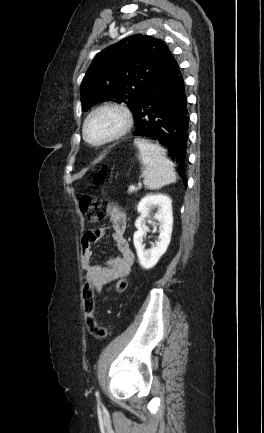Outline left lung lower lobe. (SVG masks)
I'll list each match as a JSON object with an SVG mask.
<instances>
[{"label":"left lung lower lobe","instance_id":"1","mask_svg":"<svg viewBox=\"0 0 264 433\" xmlns=\"http://www.w3.org/2000/svg\"><path fill=\"white\" fill-rule=\"evenodd\" d=\"M132 111L136 119L133 135L156 140L166 147L186 184L189 115L184 79L173 55L139 95Z\"/></svg>","mask_w":264,"mask_h":433}]
</instances>
